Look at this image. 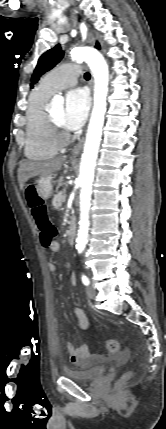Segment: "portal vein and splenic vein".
<instances>
[{"label": "portal vein and splenic vein", "mask_w": 166, "mask_h": 429, "mask_svg": "<svg viewBox=\"0 0 166 429\" xmlns=\"http://www.w3.org/2000/svg\"><path fill=\"white\" fill-rule=\"evenodd\" d=\"M62 199H63V202H65V200H66V197H65V196H63V198H62Z\"/></svg>", "instance_id": "18ae733b"}]
</instances>
